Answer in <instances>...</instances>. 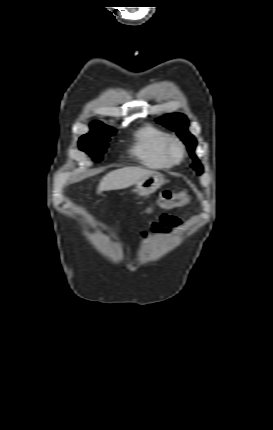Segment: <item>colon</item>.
I'll use <instances>...</instances> for the list:
<instances>
[{"label": "colon", "mask_w": 273, "mask_h": 430, "mask_svg": "<svg viewBox=\"0 0 273 430\" xmlns=\"http://www.w3.org/2000/svg\"><path fill=\"white\" fill-rule=\"evenodd\" d=\"M189 202V196L184 193H173L171 191H164L160 194L156 201V205L162 208L170 209L175 207H182ZM150 211L151 208H148Z\"/></svg>", "instance_id": "5ec220e1"}]
</instances>
